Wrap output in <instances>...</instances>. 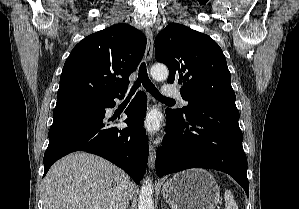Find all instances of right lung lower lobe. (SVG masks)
Listing matches in <instances>:
<instances>
[{"mask_svg":"<svg viewBox=\"0 0 299 209\" xmlns=\"http://www.w3.org/2000/svg\"><path fill=\"white\" fill-rule=\"evenodd\" d=\"M123 96L57 100L49 130V145L44 154L43 176L66 154L86 151L113 162L139 184L146 171L149 153L143 129L146 95L137 93L125 111L128 128L119 129L105 119V109L114 107V98L122 99Z\"/></svg>","mask_w":299,"mask_h":209,"instance_id":"1","label":"right lung lower lobe"}]
</instances>
